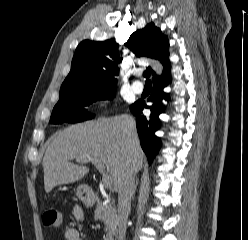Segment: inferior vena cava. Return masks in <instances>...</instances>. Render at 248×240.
Masks as SVG:
<instances>
[{"mask_svg":"<svg viewBox=\"0 0 248 240\" xmlns=\"http://www.w3.org/2000/svg\"><path fill=\"white\" fill-rule=\"evenodd\" d=\"M134 163L130 164L118 187V239L125 240L126 223L131 209V198L134 189Z\"/></svg>","mask_w":248,"mask_h":240,"instance_id":"1","label":"inferior vena cava"}]
</instances>
